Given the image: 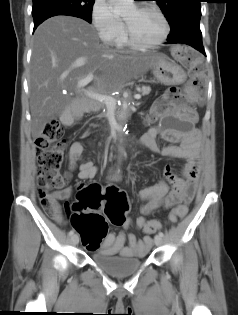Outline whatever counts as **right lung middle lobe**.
<instances>
[{"label": "right lung middle lobe", "mask_w": 238, "mask_h": 315, "mask_svg": "<svg viewBox=\"0 0 238 315\" xmlns=\"http://www.w3.org/2000/svg\"><path fill=\"white\" fill-rule=\"evenodd\" d=\"M93 4L94 0H33L32 15L62 10L76 13L91 23Z\"/></svg>", "instance_id": "obj_1"}]
</instances>
